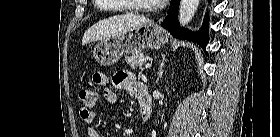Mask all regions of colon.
Returning a JSON list of instances; mask_svg holds the SVG:
<instances>
[{"label": "colon", "mask_w": 280, "mask_h": 137, "mask_svg": "<svg viewBox=\"0 0 280 137\" xmlns=\"http://www.w3.org/2000/svg\"><path fill=\"white\" fill-rule=\"evenodd\" d=\"M79 98L85 106L92 107L97 101L98 93L93 88L83 87L79 90Z\"/></svg>", "instance_id": "1"}]
</instances>
